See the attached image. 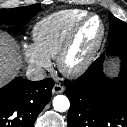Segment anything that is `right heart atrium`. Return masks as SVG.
Returning a JSON list of instances; mask_svg holds the SVG:
<instances>
[{"instance_id":"d8ad5b80","label":"right heart atrium","mask_w":127,"mask_h":127,"mask_svg":"<svg viewBox=\"0 0 127 127\" xmlns=\"http://www.w3.org/2000/svg\"><path fill=\"white\" fill-rule=\"evenodd\" d=\"M22 52L24 59L34 72L40 73L51 65L50 59L43 55L35 44L24 42Z\"/></svg>"}]
</instances>
